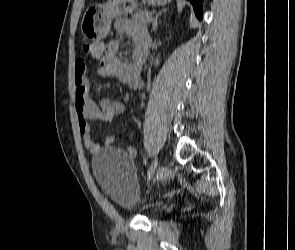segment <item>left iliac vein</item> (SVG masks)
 <instances>
[{"mask_svg":"<svg viewBox=\"0 0 295 250\" xmlns=\"http://www.w3.org/2000/svg\"><path fill=\"white\" fill-rule=\"evenodd\" d=\"M155 160H157V159H155ZM168 173H169V171L166 166H164V165L159 166L153 183H157V182L164 180L168 176Z\"/></svg>","mask_w":295,"mask_h":250,"instance_id":"4c4485c4","label":"left iliac vein"}]
</instances>
